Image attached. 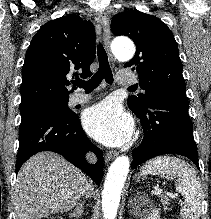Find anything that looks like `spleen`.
<instances>
[{
	"mask_svg": "<svg viewBox=\"0 0 211 219\" xmlns=\"http://www.w3.org/2000/svg\"><path fill=\"white\" fill-rule=\"evenodd\" d=\"M140 172L141 175L152 174L175 179L176 190L185 198L181 216L183 219H199L202 187L195 169L190 164L176 157L163 156L146 162Z\"/></svg>",
	"mask_w": 211,
	"mask_h": 219,
	"instance_id": "1",
	"label": "spleen"
}]
</instances>
